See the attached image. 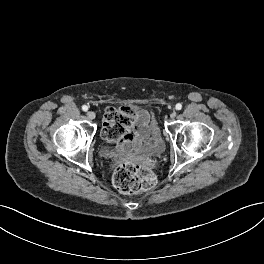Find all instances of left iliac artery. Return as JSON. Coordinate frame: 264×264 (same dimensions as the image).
<instances>
[{"label": "left iliac artery", "mask_w": 264, "mask_h": 264, "mask_svg": "<svg viewBox=\"0 0 264 264\" xmlns=\"http://www.w3.org/2000/svg\"><path fill=\"white\" fill-rule=\"evenodd\" d=\"M175 108H176V110H181L182 109V105L180 103H177Z\"/></svg>", "instance_id": "obj_1"}]
</instances>
